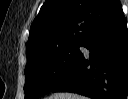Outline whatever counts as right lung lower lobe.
Here are the masks:
<instances>
[{"instance_id": "98d812e1", "label": "right lung lower lobe", "mask_w": 128, "mask_h": 99, "mask_svg": "<svg viewBox=\"0 0 128 99\" xmlns=\"http://www.w3.org/2000/svg\"><path fill=\"white\" fill-rule=\"evenodd\" d=\"M90 51L53 92H74L93 99H126L128 31L122 7L83 42Z\"/></svg>"}]
</instances>
